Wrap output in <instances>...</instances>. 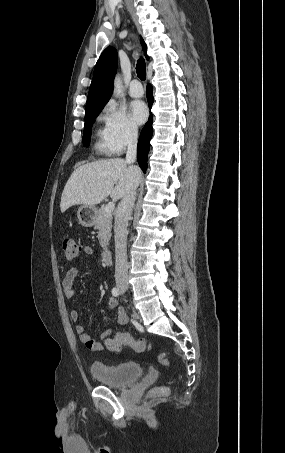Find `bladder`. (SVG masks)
I'll list each match as a JSON object with an SVG mask.
<instances>
[{
	"label": "bladder",
	"instance_id": "bladder-1",
	"mask_svg": "<svg viewBox=\"0 0 285 453\" xmlns=\"http://www.w3.org/2000/svg\"><path fill=\"white\" fill-rule=\"evenodd\" d=\"M90 372L98 382L110 387L128 386L143 375L142 367L134 362L117 365L93 362L90 366Z\"/></svg>",
	"mask_w": 285,
	"mask_h": 453
}]
</instances>
